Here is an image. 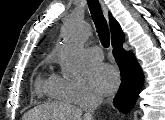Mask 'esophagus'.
Segmentation results:
<instances>
[{"instance_id":"obj_1","label":"esophagus","mask_w":165,"mask_h":120,"mask_svg":"<svg viewBox=\"0 0 165 120\" xmlns=\"http://www.w3.org/2000/svg\"><path fill=\"white\" fill-rule=\"evenodd\" d=\"M101 6H102V9H103V11H104L105 15L107 16L108 11H107L106 6H105V4H104V2H103V1H101Z\"/></svg>"}]
</instances>
